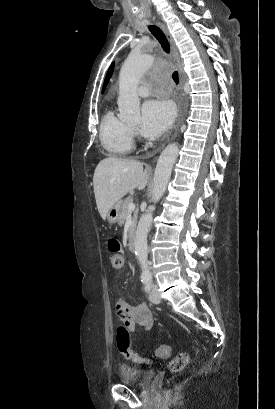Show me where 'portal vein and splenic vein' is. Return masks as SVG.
Returning a JSON list of instances; mask_svg holds the SVG:
<instances>
[{
  "label": "portal vein and splenic vein",
  "mask_w": 275,
  "mask_h": 409,
  "mask_svg": "<svg viewBox=\"0 0 275 409\" xmlns=\"http://www.w3.org/2000/svg\"><path fill=\"white\" fill-rule=\"evenodd\" d=\"M134 209H135L134 202H130V205H128V211H129V213H131V211H134Z\"/></svg>",
  "instance_id": "portal-vein-and-splenic-vein-1"
}]
</instances>
